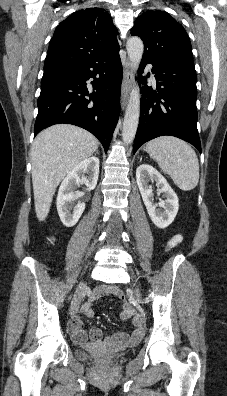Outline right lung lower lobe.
I'll use <instances>...</instances> for the list:
<instances>
[{
	"label": "right lung lower lobe",
	"instance_id": "obj_1",
	"mask_svg": "<svg viewBox=\"0 0 227 396\" xmlns=\"http://www.w3.org/2000/svg\"><path fill=\"white\" fill-rule=\"evenodd\" d=\"M89 78L94 79L91 94L86 87ZM121 81L119 49L87 62L44 70L34 135L54 124H73L91 132L107 152L119 118Z\"/></svg>",
	"mask_w": 227,
	"mask_h": 396
}]
</instances>
